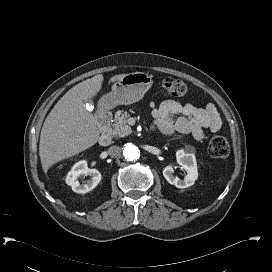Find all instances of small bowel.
Masks as SVG:
<instances>
[{
    "label": "small bowel",
    "mask_w": 272,
    "mask_h": 272,
    "mask_svg": "<svg viewBox=\"0 0 272 272\" xmlns=\"http://www.w3.org/2000/svg\"><path fill=\"white\" fill-rule=\"evenodd\" d=\"M156 126L164 134L174 132L191 134L196 140L204 139V129L217 132L221 128V119L214 104L196 107L190 103L167 100L159 107L150 104Z\"/></svg>",
    "instance_id": "small-bowel-1"
}]
</instances>
